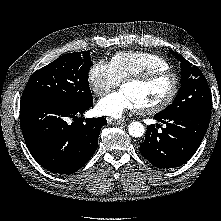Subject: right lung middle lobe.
I'll return each instance as SVG.
<instances>
[{"label": "right lung middle lobe", "instance_id": "obj_1", "mask_svg": "<svg viewBox=\"0 0 221 221\" xmlns=\"http://www.w3.org/2000/svg\"><path fill=\"white\" fill-rule=\"evenodd\" d=\"M91 65L89 51L65 54L32 74L21 98L45 97L87 105L93 102L87 79Z\"/></svg>", "mask_w": 221, "mask_h": 221}]
</instances>
